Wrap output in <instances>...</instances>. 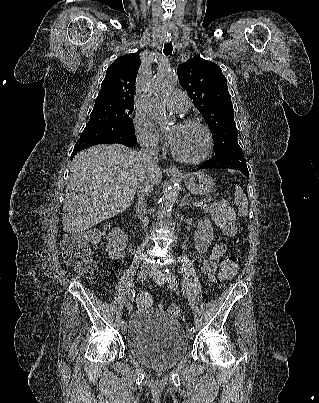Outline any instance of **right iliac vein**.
<instances>
[{
    "mask_svg": "<svg viewBox=\"0 0 319 403\" xmlns=\"http://www.w3.org/2000/svg\"><path fill=\"white\" fill-rule=\"evenodd\" d=\"M150 273H151V268H150V266H148V265H142L141 268H140V270H139V272H138V279H139V281H144ZM126 331H127V326H126V324H123V325L121 326V332H122L123 334H125Z\"/></svg>",
    "mask_w": 319,
    "mask_h": 403,
    "instance_id": "1",
    "label": "right iliac vein"
}]
</instances>
